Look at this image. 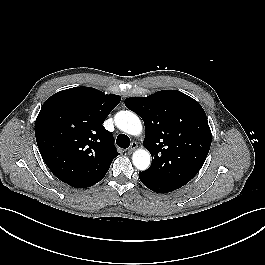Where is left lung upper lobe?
<instances>
[{"mask_svg": "<svg viewBox=\"0 0 265 265\" xmlns=\"http://www.w3.org/2000/svg\"><path fill=\"white\" fill-rule=\"evenodd\" d=\"M125 106L145 124L143 145L152 156V164L143 172L178 188L194 178L212 140L202 106L177 90L130 97Z\"/></svg>", "mask_w": 265, "mask_h": 265, "instance_id": "5c2ea615", "label": "left lung upper lobe"}]
</instances>
